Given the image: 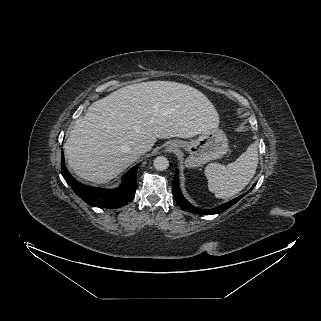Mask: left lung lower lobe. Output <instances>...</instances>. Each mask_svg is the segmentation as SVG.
<instances>
[{
	"label": "left lung lower lobe",
	"instance_id": "obj_1",
	"mask_svg": "<svg viewBox=\"0 0 321 321\" xmlns=\"http://www.w3.org/2000/svg\"><path fill=\"white\" fill-rule=\"evenodd\" d=\"M255 186V184L252 186V188L247 192L249 193L253 187ZM172 187H173V196L176 200V202L178 203V205L184 209L185 211L188 212H192V213H196V214H201V215H205V214H217L220 212H223L224 210L228 209L229 207H231L232 205H234L236 202H238L244 195H246L247 193L225 203L222 204L220 206H217L213 209H208V210H201V209H197L195 208L193 205H191L182 195L180 187L178 185V170H176L175 172V176L173 179V183H172Z\"/></svg>",
	"mask_w": 321,
	"mask_h": 321
}]
</instances>
